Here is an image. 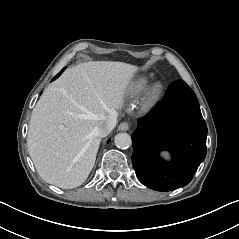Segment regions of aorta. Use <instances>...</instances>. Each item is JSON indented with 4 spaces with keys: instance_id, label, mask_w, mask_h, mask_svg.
Wrapping results in <instances>:
<instances>
[{
    "instance_id": "762f6f07",
    "label": "aorta",
    "mask_w": 239,
    "mask_h": 239,
    "mask_svg": "<svg viewBox=\"0 0 239 239\" xmlns=\"http://www.w3.org/2000/svg\"><path fill=\"white\" fill-rule=\"evenodd\" d=\"M115 144L120 149H127L132 145L131 136L127 133H119L115 136Z\"/></svg>"
}]
</instances>
